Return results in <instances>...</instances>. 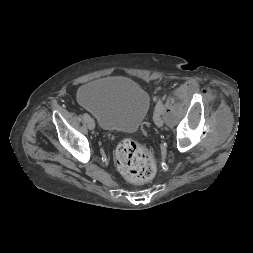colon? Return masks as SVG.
Here are the masks:
<instances>
[{"instance_id":"5ec220e1","label":"colon","mask_w":253,"mask_h":253,"mask_svg":"<svg viewBox=\"0 0 253 253\" xmlns=\"http://www.w3.org/2000/svg\"><path fill=\"white\" fill-rule=\"evenodd\" d=\"M115 156L117 167L127 181L144 184L155 177L156 164L151 152L134 139L122 140Z\"/></svg>"}]
</instances>
